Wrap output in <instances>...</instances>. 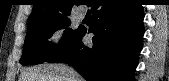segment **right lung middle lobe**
<instances>
[{
    "mask_svg": "<svg viewBox=\"0 0 169 81\" xmlns=\"http://www.w3.org/2000/svg\"><path fill=\"white\" fill-rule=\"evenodd\" d=\"M71 24L68 16L41 20L28 25L27 35L23 47L20 63L23 65L41 64L60 51L68 44L80 30L69 28ZM66 28L58 45L48 41L52 33L58 29Z\"/></svg>",
    "mask_w": 169,
    "mask_h": 81,
    "instance_id": "dd1d6c3e",
    "label": "right lung middle lobe"
}]
</instances>
